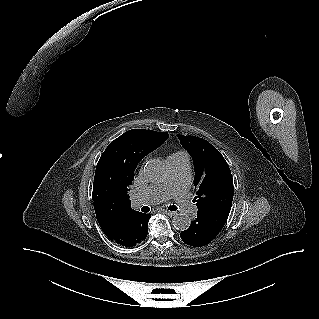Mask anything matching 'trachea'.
Masks as SVG:
<instances>
[{"mask_svg":"<svg viewBox=\"0 0 319 319\" xmlns=\"http://www.w3.org/2000/svg\"><path fill=\"white\" fill-rule=\"evenodd\" d=\"M168 208H169V210H171V211H176V210H177V207H176L175 205L169 206ZM147 209H149V208H147ZM145 210H146V209H145Z\"/></svg>","mask_w":319,"mask_h":319,"instance_id":"trachea-1","label":"trachea"}]
</instances>
